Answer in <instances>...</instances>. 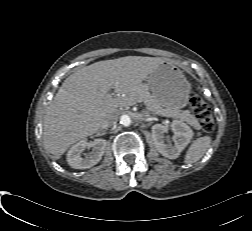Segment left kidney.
<instances>
[{
    "label": "left kidney",
    "mask_w": 252,
    "mask_h": 231,
    "mask_svg": "<svg viewBox=\"0 0 252 231\" xmlns=\"http://www.w3.org/2000/svg\"><path fill=\"white\" fill-rule=\"evenodd\" d=\"M171 130L174 132V145L168 143V139L165 136L168 128L162 124L152 126V138L159 153L166 158L176 159L190 143L193 131L188 125L179 120H174L171 123Z\"/></svg>",
    "instance_id": "obj_1"
}]
</instances>
